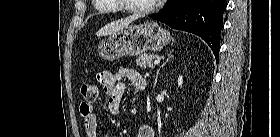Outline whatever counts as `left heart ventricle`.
Segmentation results:
<instances>
[{
	"mask_svg": "<svg viewBox=\"0 0 280 137\" xmlns=\"http://www.w3.org/2000/svg\"><path fill=\"white\" fill-rule=\"evenodd\" d=\"M128 5L136 8H146L155 3V0H127ZM149 27H159V26H149Z\"/></svg>",
	"mask_w": 280,
	"mask_h": 137,
	"instance_id": "obj_1",
	"label": "left heart ventricle"
}]
</instances>
